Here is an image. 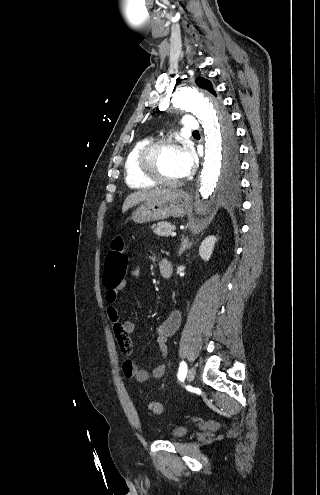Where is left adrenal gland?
Wrapping results in <instances>:
<instances>
[{"mask_svg": "<svg viewBox=\"0 0 320 495\" xmlns=\"http://www.w3.org/2000/svg\"><path fill=\"white\" fill-rule=\"evenodd\" d=\"M190 245L189 239L187 237L182 236L181 246L179 249V256L186 250V248Z\"/></svg>", "mask_w": 320, "mask_h": 495, "instance_id": "1", "label": "left adrenal gland"}]
</instances>
